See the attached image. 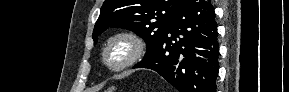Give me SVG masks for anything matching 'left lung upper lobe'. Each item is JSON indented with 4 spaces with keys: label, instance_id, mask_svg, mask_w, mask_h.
<instances>
[{
    "label": "left lung upper lobe",
    "instance_id": "5c2ea615",
    "mask_svg": "<svg viewBox=\"0 0 289 92\" xmlns=\"http://www.w3.org/2000/svg\"><path fill=\"white\" fill-rule=\"evenodd\" d=\"M183 0H105L93 30L97 36L108 27L124 28L141 36L147 44L145 57L158 48L164 31Z\"/></svg>",
    "mask_w": 289,
    "mask_h": 92
}]
</instances>
